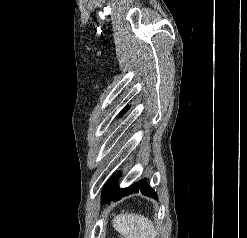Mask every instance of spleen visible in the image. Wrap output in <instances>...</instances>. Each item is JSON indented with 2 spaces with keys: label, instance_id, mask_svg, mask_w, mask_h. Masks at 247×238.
<instances>
[{
  "label": "spleen",
  "instance_id": "1",
  "mask_svg": "<svg viewBox=\"0 0 247 238\" xmlns=\"http://www.w3.org/2000/svg\"><path fill=\"white\" fill-rule=\"evenodd\" d=\"M112 224L124 238H155L157 235L152 221L135 213L117 215Z\"/></svg>",
  "mask_w": 247,
  "mask_h": 238
}]
</instances>
